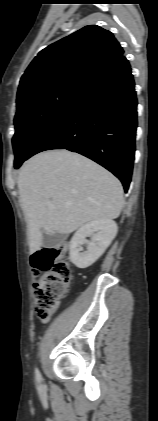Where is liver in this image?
Here are the masks:
<instances>
[{"label":"liver","mask_w":158,"mask_h":421,"mask_svg":"<svg viewBox=\"0 0 158 421\" xmlns=\"http://www.w3.org/2000/svg\"><path fill=\"white\" fill-rule=\"evenodd\" d=\"M18 189L32 253L43 246V231L69 234L94 220H112L124 204L115 176L68 150L45 151L27 160Z\"/></svg>","instance_id":"1"}]
</instances>
